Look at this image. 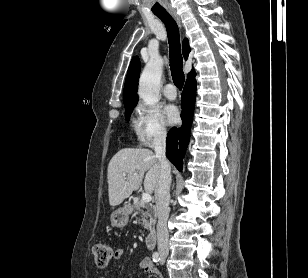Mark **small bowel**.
Masks as SVG:
<instances>
[{
  "label": "small bowel",
  "instance_id": "c3829d8e",
  "mask_svg": "<svg viewBox=\"0 0 308 278\" xmlns=\"http://www.w3.org/2000/svg\"><path fill=\"white\" fill-rule=\"evenodd\" d=\"M124 253H125V251H124L123 248H117L113 252V258L115 260H119L124 256ZM139 269L146 272V273H149L154 278H161L160 272L158 271L157 268L154 267L150 258L146 257V258L142 259L140 264H139ZM101 278H105V277H101Z\"/></svg>",
  "mask_w": 308,
  "mask_h": 278
}]
</instances>
